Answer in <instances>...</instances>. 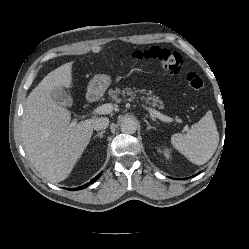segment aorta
Instances as JSON below:
<instances>
[{
    "label": "aorta",
    "mask_w": 249,
    "mask_h": 249,
    "mask_svg": "<svg viewBox=\"0 0 249 249\" xmlns=\"http://www.w3.org/2000/svg\"><path fill=\"white\" fill-rule=\"evenodd\" d=\"M120 129L123 133L133 134L137 130V123L132 118H126L121 122Z\"/></svg>",
    "instance_id": "1"
}]
</instances>
